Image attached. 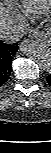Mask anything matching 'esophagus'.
Instances as JSON below:
<instances>
[{
  "instance_id": "obj_1",
  "label": "esophagus",
  "mask_w": 51,
  "mask_h": 153,
  "mask_svg": "<svg viewBox=\"0 0 51 153\" xmlns=\"http://www.w3.org/2000/svg\"><path fill=\"white\" fill-rule=\"evenodd\" d=\"M34 37H35L36 39H40V35L35 34Z\"/></svg>"
}]
</instances>
